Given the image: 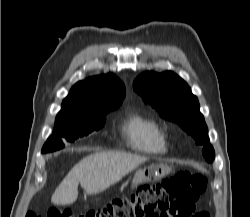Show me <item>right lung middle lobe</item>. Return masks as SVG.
<instances>
[{"label":"right lung middle lobe","instance_id":"1","mask_svg":"<svg viewBox=\"0 0 250 217\" xmlns=\"http://www.w3.org/2000/svg\"><path fill=\"white\" fill-rule=\"evenodd\" d=\"M107 112L95 114L86 119H71L56 121L51 137L48 138L42 148V153L59 150L64 147L62 140L73 142L79 137L98 131L105 123Z\"/></svg>","mask_w":250,"mask_h":217}]
</instances>
